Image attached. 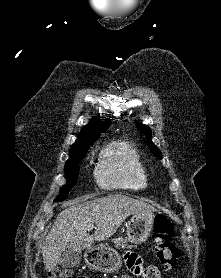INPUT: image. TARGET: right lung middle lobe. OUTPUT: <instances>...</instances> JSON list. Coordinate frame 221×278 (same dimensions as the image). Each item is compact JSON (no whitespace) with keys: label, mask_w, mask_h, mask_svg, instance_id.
I'll return each mask as SVG.
<instances>
[{"label":"right lung middle lobe","mask_w":221,"mask_h":278,"mask_svg":"<svg viewBox=\"0 0 221 278\" xmlns=\"http://www.w3.org/2000/svg\"><path fill=\"white\" fill-rule=\"evenodd\" d=\"M89 146L90 145L84 146L79 149H76L75 151L70 152V157L66 161L65 165L67 185L61 188V193L54 200L55 202L63 201L67 197L70 189L74 186L79 174V165L77 163L85 157L89 149Z\"/></svg>","instance_id":"obj_1"}]
</instances>
